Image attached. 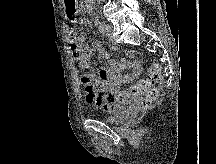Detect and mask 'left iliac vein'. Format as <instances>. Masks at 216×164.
I'll return each mask as SVG.
<instances>
[{
  "label": "left iliac vein",
  "instance_id": "4c4485c4",
  "mask_svg": "<svg viewBox=\"0 0 216 164\" xmlns=\"http://www.w3.org/2000/svg\"><path fill=\"white\" fill-rule=\"evenodd\" d=\"M112 32H113V27L108 24L107 25V31L105 32V34L110 39H112Z\"/></svg>",
  "mask_w": 216,
  "mask_h": 164
}]
</instances>
